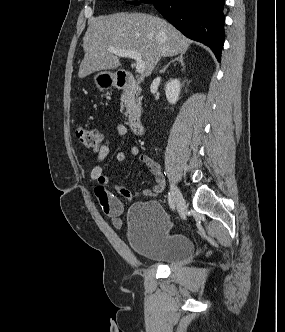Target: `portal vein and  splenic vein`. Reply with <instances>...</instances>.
I'll use <instances>...</instances> for the list:
<instances>
[{"label": "portal vein and splenic vein", "instance_id": "1", "mask_svg": "<svg viewBox=\"0 0 285 332\" xmlns=\"http://www.w3.org/2000/svg\"><path fill=\"white\" fill-rule=\"evenodd\" d=\"M109 52L113 53L118 57H128L136 61V71L138 73H143L145 71V62L142 60L141 54L135 51L123 50L110 47L107 49Z\"/></svg>", "mask_w": 285, "mask_h": 332}]
</instances>
